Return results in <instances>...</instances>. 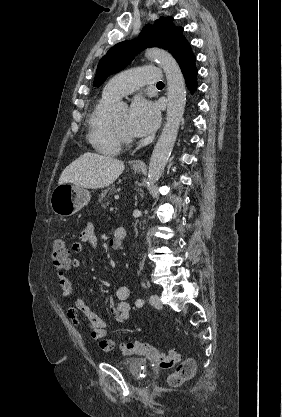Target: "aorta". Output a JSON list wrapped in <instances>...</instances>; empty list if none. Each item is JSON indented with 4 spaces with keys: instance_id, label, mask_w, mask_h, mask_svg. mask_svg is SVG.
<instances>
[{
    "instance_id": "aorta-1",
    "label": "aorta",
    "mask_w": 282,
    "mask_h": 417,
    "mask_svg": "<svg viewBox=\"0 0 282 417\" xmlns=\"http://www.w3.org/2000/svg\"><path fill=\"white\" fill-rule=\"evenodd\" d=\"M146 58L155 60L163 68L167 80V116L165 126L151 154L148 170V184L153 186L159 180L166 162L173 150L180 122L186 104V86L182 70L174 56L163 48H147ZM127 110L126 102H117L115 110Z\"/></svg>"
}]
</instances>
